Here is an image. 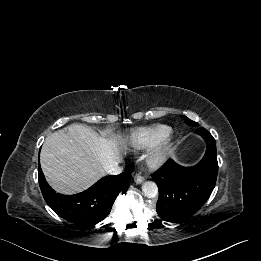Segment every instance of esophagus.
I'll return each mask as SVG.
<instances>
[{
	"instance_id": "obj_1",
	"label": "esophagus",
	"mask_w": 261,
	"mask_h": 261,
	"mask_svg": "<svg viewBox=\"0 0 261 261\" xmlns=\"http://www.w3.org/2000/svg\"><path fill=\"white\" fill-rule=\"evenodd\" d=\"M134 180L137 184H140L144 181V177L141 174H136L134 176Z\"/></svg>"
}]
</instances>
